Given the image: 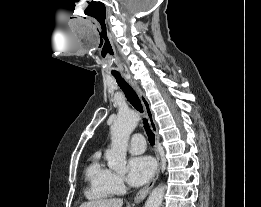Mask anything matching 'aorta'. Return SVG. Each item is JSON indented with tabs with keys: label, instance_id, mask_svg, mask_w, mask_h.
<instances>
[{
	"label": "aorta",
	"instance_id": "762f6f07",
	"mask_svg": "<svg viewBox=\"0 0 261 207\" xmlns=\"http://www.w3.org/2000/svg\"><path fill=\"white\" fill-rule=\"evenodd\" d=\"M139 122V115L133 111L121 112L110 128L111 148L106 152L109 168L124 172L126 169V152L131 133ZM165 186L159 185L151 192L145 207H160Z\"/></svg>",
	"mask_w": 261,
	"mask_h": 207
}]
</instances>
